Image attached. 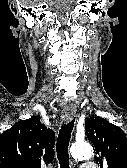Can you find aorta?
Returning a JSON list of instances; mask_svg holds the SVG:
<instances>
[{
	"label": "aorta",
	"instance_id": "762f6f07",
	"mask_svg": "<svg viewBox=\"0 0 127 168\" xmlns=\"http://www.w3.org/2000/svg\"><path fill=\"white\" fill-rule=\"evenodd\" d=\"M71 154L76 160H89L93 156V148L87 142L77 143L72 147Z\"/></svg>",
	"mask_w": 127,
	"mask_h": 168
}]
</instances>
